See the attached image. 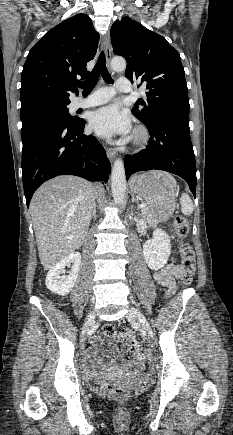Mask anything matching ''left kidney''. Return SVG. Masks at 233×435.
<instances>
[{
	"instance_id": "5707ae66",
	"label": "left kidney",
	"mask_w": 233,
	"mask_h": 435,
	"mask_svg": "<svg viewBox=\"0 0 233 435\" xmlns=\"http://www.w3.org/2000/svg\"><path fill=\"white\" fill-rule=\"evenodd\" d=\"M143 254L148 267L158 270L164 267L171 254L169 236L161 229L153 232V238L143 244Z\"/></svg>"
}]
</instances>
